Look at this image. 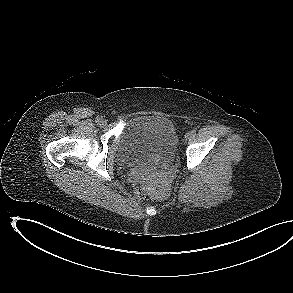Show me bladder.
<instances>
[{
    "label": "bladder",
    "mask_w": 293,
    "mask_h": 293,
    "mask_svg": "<svg viewBox=\"0 0 293 293\" xmlns=\"http://www.w3.org/2000/svg\"><path fill=\"white\" fill-rule=\"evenodd\" d=\"M178 144V134L170 119L138 115L126 122L119 138L117 157L126 164L161 168L175 160Z\"/></svg>",
    "instance_id": "bladder-1"
}]
</instances>
